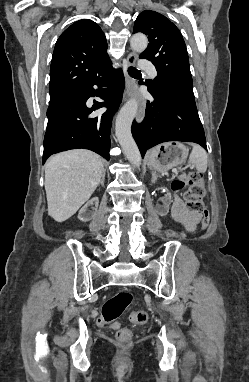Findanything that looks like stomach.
Here are the masks:
<instances>
[{
	"mask_svg": "<svg viewBox=\"0 0 249 382\" xmlns=\"http://www.w3.org/2000/svg\"><path fill=\"white\" fill-rule=\"evenodd\" d=\"M188 156V149L180 142H167L148 152V166L159 173L182 165Z\"/></svg>",
	"mask_w": 249,
	"mask_h": 382,
	"instance_id": "obj_1",
	"label": "stomach"
}]
</instances>
